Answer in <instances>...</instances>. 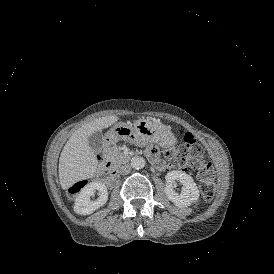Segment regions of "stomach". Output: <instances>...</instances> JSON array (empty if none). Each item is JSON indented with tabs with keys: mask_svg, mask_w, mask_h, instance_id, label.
Instances as JSON below:
<instances>
[{
	"mask_svg": "<svg viewBox=\"0 0 274 274\" xmlns=\"http://www.w3.org/2000/svg\"><path fill=\"white\" fill-rule=\"evenodd\" d=\"M132 142L138 145L158 143L162 147H170L175 143L169 128L151 119H140L131 127L126 123H117L106 133V142Z\"/></svg>",
	"mask_w": 274,
	"mask_h": 274,
	"instance_id": "obj_1",
	"label": "stomach"
}]
</instances>
